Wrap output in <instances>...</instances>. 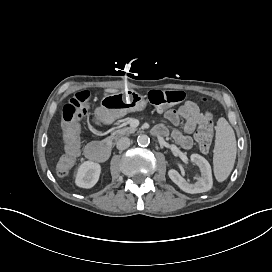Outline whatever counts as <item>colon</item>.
Instances as JSON below:
<instances>
[{
  "instance_id": "colon-1",
  "label": "colon",
  "mask_w": 272,
  "mask_h": 272,
  "mask_svg": "<svg viewBox=\"0 0 272 272\" xmlns=\"http://www.w3.org/2000/svg\"><path fill=\"white\" fill-rule=\"evenodd\" d=\"M148 96L149 101L154 105L156 110L172 108L174 104L184 99V94L181 91L151 90ZM91 100L92 93L88 90H83L75 94L62 109L63 154L62 160L57 167L58 175L61 177L71 170L73 163L80 156V147L77 145L80 142V136L77 133V127L82 118L87 114V105ZM212 121L213 114L211 112H204L200 118V125L204 128L197 134L196 141L199 143L201 150H208L212 143Z\"/></svg>"
}]
</instances>
